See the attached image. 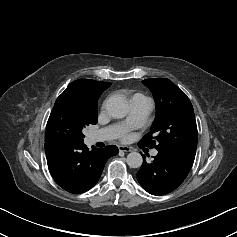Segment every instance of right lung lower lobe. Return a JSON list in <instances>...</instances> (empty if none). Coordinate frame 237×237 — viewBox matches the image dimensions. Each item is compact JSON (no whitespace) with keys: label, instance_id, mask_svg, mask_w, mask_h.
<instances>
[{"label":"right lung lower lobe","instance_id":"1","mask_svg":"<svg viewBox=\"0 0 237 237\" xmlns=\"http://www.w3.org/2000/svg\"><path fill=\"white\" fill-rule=\"evenodd\" d=\"M47 164L55 182L64 190L79 194L99 180L106 161L118 153L115 145L92 149L82 143L46 141Z\"/></svg>","mask_w":237,"mask_h":237}]
</instances>
